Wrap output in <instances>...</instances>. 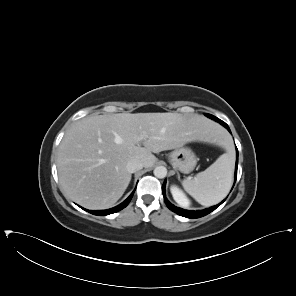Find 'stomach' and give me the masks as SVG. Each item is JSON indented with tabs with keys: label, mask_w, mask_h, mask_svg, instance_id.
Here are the masks:
<instances>
[{
	"label": "stomach",
	"mask_w": 296,
	"mask_h": 296,
	"mask_svg": "<svg viewBox=\"0 0 296 296\" xmlns=\"http://www.w3.org/2000/svg\"><path fill=\"white\" fill-rule=\"evenodd\" d=\"M168 158L174 169L185 174L192 172L197 164L196 155L188 147L176 148Z\"/></svg>",
	"instance_id": "stomach-1"
}]
</instances>
